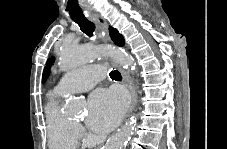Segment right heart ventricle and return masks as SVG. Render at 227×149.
Segmentation results:
<instances>
[{
    "mask_svg": "<svg viewBox=\"0 0 227 149\" xmlns=\"http://www.w3.org/2000/svg\"><path fill=\"white\" fill-rule=\"evenodd\" d=\"M60 93L49 94L45 105L48 144L53 149H73L78 145L76 124L61 111Z\"/></svg>",
    "mask_w": 227,
    "mask_h": 149,
    "instance_id": "1",
    "label": "right heart ventricle"
}]
</instances>
